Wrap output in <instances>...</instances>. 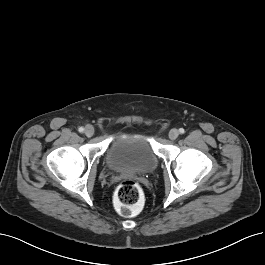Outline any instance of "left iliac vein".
<instances>
[{
    "instance_id": "left-iliac-vein-1",
    "label": "left iliac vein",
    "mask_w": 265,
    "mask_h": 265,
    "mask_svg": "<svg viewBox=\"0 0 265 265\" xmlns=\"http://www.w3.org/2000/svg\"><path fill=\"white\" fill-rule=\"evenodd\" d=\"M168 136L171 140H175L179 136V131L177 129H172L170 130Z\"/></svg>"
}]
</instances>
